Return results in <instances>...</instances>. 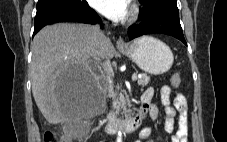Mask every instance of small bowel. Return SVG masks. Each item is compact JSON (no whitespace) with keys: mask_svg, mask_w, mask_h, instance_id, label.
Masks as SVG:
<instances>
[{"mask_svg":"<svg viewBox=\"0 0 227 142\" xmlns=\"http://www.w3.org/2000/svg\"><path fill=\"white\" fill-rule=\"evenodd\" d=\"M171 89L168 86H164L161 89L160 97L164 106V130L168 134L174 132V123L176 111L178 112V127L175 133L172 135L171 142H188V117H187V104L185 98L181 94H177L174 100V107L170 105ZM154 96V89L148 88L141 96L142 106L149 112L150 116L154 120L159 118L158 107L152 103ZM140 137L145 142L152 141V132L150 128H144L140 132ZM135 142H142L137 140Z\"/></svg>","mask_w":227,"mask_h":142,"instance_id":"obj_1","label":"small bowel"}]
</instances>
